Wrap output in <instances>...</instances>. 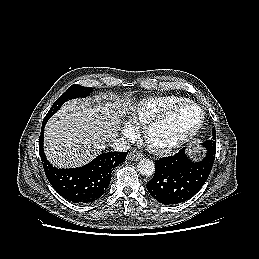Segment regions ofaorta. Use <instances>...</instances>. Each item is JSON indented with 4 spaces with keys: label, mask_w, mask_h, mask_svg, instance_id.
I'll return each instance as SVG.
<instances>
[{
    "label": "aorta",
    "mask_w": 259,
    "mask_h": 259,
    "mask_svg": "<svg viewBox=\"0 0 259 259\" xmlns=\"http://www.w3.org/2000/svg\"><path fill=\"white\" fill-rule=\"evenodd\" d=\"M138 171L144 176H151L155 172V164L152 160L143 158L138 163Z\"/></svg>",
    "instance_id": "762f6f07"
}]
</instances>
